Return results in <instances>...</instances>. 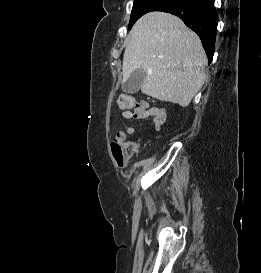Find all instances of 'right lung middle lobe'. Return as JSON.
Returning a JSON list of instances; mask_svg holds the SVG:
<instances>
[{"mask_svg":"<svg viewBox=\"0 0 261 273\" xmlns=\"http://www.w3.org/2000/svg\"><path fill=\"white\" fill-rule=\"evenodd\" d=\"M166 0H135L129 22V29L144 14L150 11H160L164 8Z\"/></svg>","mask_w":261,"mask_h":273,"instance_id":"1","label":"right lung middle lobe"}]
</instances>
